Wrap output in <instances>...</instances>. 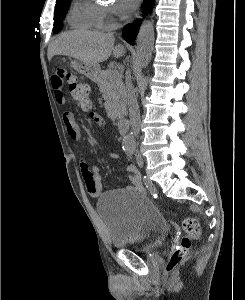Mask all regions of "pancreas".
Masks as SVG:
<instances>
[{
  "label": "pancreas",
  "mask_w": 245,
  "mask_h": 300,
  "mask_svg": "<svg viewBox=\"0 0 245 300\" xmlns=\"http://www.w3.org/2000/svg\"><path fill=\"white\" fill-rule=\"evenodd\" d=\"M97 84L103 93L108 117L116 120L126 112V90L122 73L116 70L102 71Z\"/></svg>",
  "instance_id": "obj_1"
}]
</instances>
